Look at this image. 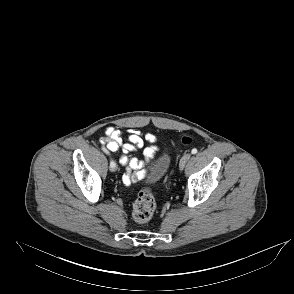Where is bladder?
<instances>
[{
	"label": "bladder",
	"instance_id": "31cf9c89",
	"mask_svg": "<svg viewBox=\"0 0 294 294\" xmlns=\"http://www.w3.org/2000/svg\"><path fill=\"white\" fill-rule=\"evenodd\" d=\"M171 163L169 152H163L152 164L148 179L151 182L158 181L168 170Z\"/></svg>",
	"mask_w": 294,
	"mask_h": 294
}]
</instances>
